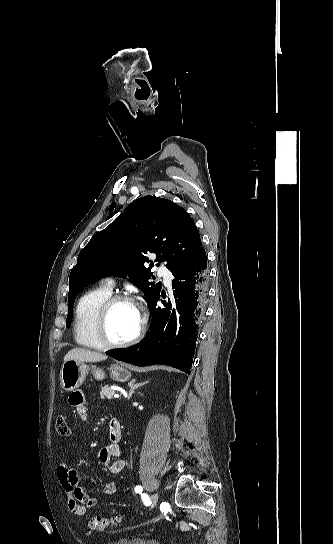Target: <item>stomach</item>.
I'll list each match as a JSON object with an SVG mask.
<instances>
[{"label": "stomach", "instance_id": "1", "mask_svg": "<svg viewBox=\"0 0 333 544\" xmlns=\"http://www.w3.org/2000/svg\"><path fill=\"white\" fill-rule=\"evenodd\" d=\"M89 366L84 362L68 360L63 363L60 370V384L63 390L73 391L80 387L88 374ZM93 375L97 380H103L105 373L102 369L94 367ZM110 377L113 380L126 382L131 378V372L126 365L115 364L110 367Z\"/></svg>", "mask_w": 333, "mask_h": 544}]
</instances>
